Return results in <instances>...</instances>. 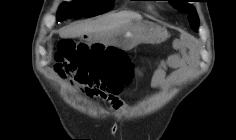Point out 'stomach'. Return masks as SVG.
Returning <instances> with one entry per match:
<instances>
[{
	"instance_id": "1",
	"label": "stomach",
	"mask_w": 236,
	"mask_h": 140,
	"mask_svg": "<svg viewBox=\"0 0 236 140\" xmlns=\"http://www.w3.org/2000/svg\"><path fill=\"white\" fill-rule=\"evenodd\" d=\"M168 36L166 29L148 20H132L119 31H104V36H93V41L105 45L121 47L126 50L140 43H160Z\"/></svg>"
}]
</instances>
